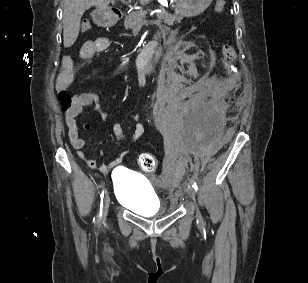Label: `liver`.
<instances>
[{
  "label": "liver",
  "mask_w": 308,
  "mask_h": 283,
  "mask_svg": "<svg viewBox=\"0 0 308 283\" xmlns=\"http://www.w3.org/2000/svg\"><path fill=\"white\" fill-rule=\"evenodd\" d=\"M112 0H63V43L64 47H71L80 30V22L84 12L95 6L99 10L108 8ZM148 3L150 0H139Z\"/></svg>",
  "instance_id": "obj_1"
}]
</instances>
